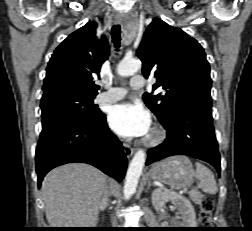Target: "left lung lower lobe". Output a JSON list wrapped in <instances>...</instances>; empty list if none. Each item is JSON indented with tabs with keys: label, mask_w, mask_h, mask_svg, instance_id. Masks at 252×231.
<instances>
[{
	"label": "left lung lower lobe",
	"mask_w": 252,
	"mask_h": 231,
	"mask_svg": "<svg viewBox=\"0 0 252 231\" xmlns=\"http://www.w3.org/2000/svg\"><path fill=\"white\" fill-rule=\"evenodd\" d=\"M166 140L148 150L146 165L173 155H187L213 165L220 175V154L211 105L188 101L175 106L164 121Z\"/></svg>",
	"instance_id": "obj_1"
}]
</instances>
